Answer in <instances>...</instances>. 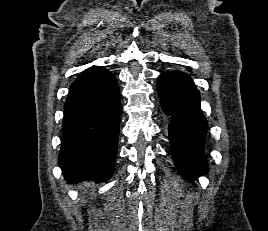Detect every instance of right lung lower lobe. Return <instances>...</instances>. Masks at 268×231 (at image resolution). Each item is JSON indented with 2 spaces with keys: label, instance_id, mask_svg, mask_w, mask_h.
Masks as SVG:
<instances>
[{
  "label": "right lung lower lobe",
  "instance_id": "1",
  "mask_svg": "<svg viewBox=\"0 0 268 231\" xmlns=\"http://www.w3.org/2000/svg\"><path fill=\"white\" fill-rule=\"evenodd\" d=\"M120 124L115 76L95 66L72 83L64 105L59 153L65 180L106 182L114 168Z\"/></svg>",
  "mask_w": 268,
  "mask_h": 231
}]
</instances>
